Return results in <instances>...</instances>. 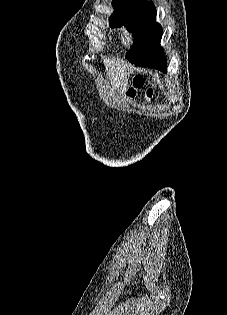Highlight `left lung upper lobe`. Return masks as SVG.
I'll return each mask as SVG.
<instances>
[{"label":"left lung upper lobe","mask_w":227,"mask_h":315,"mask_svg":"<svg viewBox=\"0 0 227 315\" xmlns=\"http://www.w3.org/2000/svg\"><path fill=\"white\" fill-rule=\"evenodd\" d=\"M112 5L114 12L110 16L111 27L126 26L135 39L133 46L149 37L156 40L160 47L163 31L161 25L156 23V9L151 1L112 0ZM130 51L126 54L127 59Z\"/></svg>","instance_id":"5c2ea615"}]
</instances>
